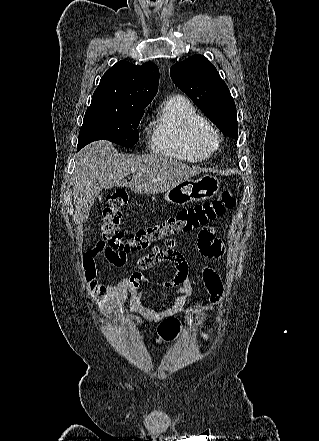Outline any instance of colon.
I'll use <instances>...</instances> for the list:
<instances>
[{
    "label": "colon",
    "instance_id": "colon-1",
    "mask_svg": "<svg viewBox=\"0 0 319 441\" xmlns=\"http://www.w3.org/2000/svg\"><path fill=\"white\" fill-rule=\"evenodd\" d=\"M127 202L126 191L117 189L108 196L103 211L102 241L99 245L104 249L105 256L119 265L124 263L128 253L145 250L165 238L198 228H201L199 236L203 235L208 223L232 210L236 200L232 190L224 189L211 201L181 209L165 221L138 229L129 235L120 230L122 210ZM84 268L86 281L91 284L94 278L93 264H87ZM180 329V320L170 317L159 324L157 334L162 341H172Z\"/></svg>",
    "mask_w": 319,
    "mask_h": 441
}]
</instances>
